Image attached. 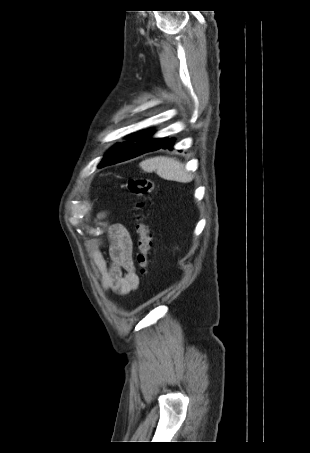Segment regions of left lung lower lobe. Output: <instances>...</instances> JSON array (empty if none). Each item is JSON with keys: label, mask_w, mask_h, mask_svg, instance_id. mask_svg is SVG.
Instances as JSON below:
<instances>
[{"label": "left lung lower lobe", "mask_w": 310, "mask_h": 453, "mask_svg": "<svg viewBox=\"0 0 310 453\" xmlns=\"http://www.w3.org/2000/svg\"><path fill=\"white\" fill-rule=\"evenodd\" d=\"M174 142H175L174 139H168V138H164V139H161L159 141H155L154 143L149 144L148 146L142 148L138 152V154L136 156L144 154V153L149 152V151H154V150H157V149H160V148L172 149L173 146H174Z\"/></svg>", "instance_id": "0a47b994"}]
</instances>
